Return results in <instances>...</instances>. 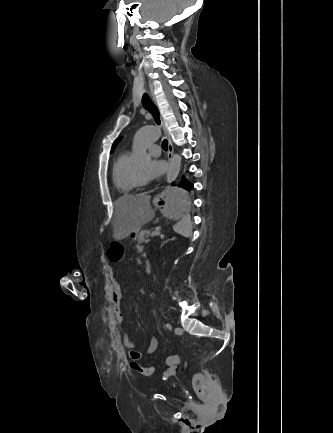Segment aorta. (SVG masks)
Returning a JSON list of instances; mask_svg holds the SVG:
<instances>
[{
	"instance_id": "aorta-1",
	"label": "aorta",
	"mask_w": 333,
	"mask_h": 433,
	"mask_svg": "<svg viewBox=\"0 0 333 433\" xmlns=\"http://www.w3.org/2000/svg\"><path fill=\"white\" fill-rule=\"evenodd\" d=\"M161 137V131L155 126H146L140 128L133 140L132 150L133 157L132 162L136 166L148 165L151 161V157L147 154V148L149 144L158 141ZM181 168V157L178 154L173 155L169 170L167 173V182L172 183L178 176Z\"/></svg>"
}]
</instances>
